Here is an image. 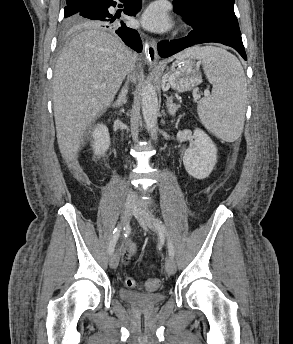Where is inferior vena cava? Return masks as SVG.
<instances>
[{
  "label": "inferior vena cava",
  "mask_w": 293,
  "mask_h": 344,
  "mask_svg": "<svg viewBox=\"0 0 293 344\" xmlns=\"http://www.w3.org/2000/svg\"><path fill=\"white\" fill-rule=\"evenodd\" d=\"M133 61L134 62L136 61V55L133 56ZM130 78H131V76H130ZM134 196H135V194L133 192L129 193V197H134Z\"/></svg>",
  "instance_id": "obj_1"
}]
</instances>
